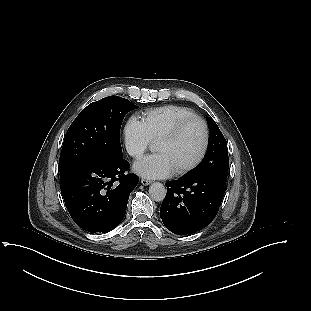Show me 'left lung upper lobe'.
<instances>
[{
  "mask_svg": "<svg viewBox=\"0 0 311 311\" xmlns=\"http://www.w3.org/2000/svg\"><path fill=\"white\" fill-rule=\"evenodd\" d=\"M209 142L205 158L187 177L212 176L226 183L229 167L226 140L215 121L207 119Z\"/></svg>",
  "mask_w": 311,
  "mask_h": 311,
  "instance_id": "left-lung-upper-lobe-1",
  "label": "left lung upper lobe"
}]
</instances>
